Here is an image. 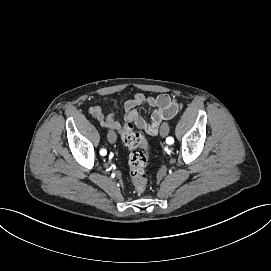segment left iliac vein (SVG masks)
I'll list each match as a JSON object with an SVG mask.
<instances>
[{
  "label": "left iliac vein",
  "mask_w": 271,
  "mask_h": 271,
  "mask_svg": "<svg viewBox=\"0 0 271 271\" xmlns=\"http://www.w3.org/2000/svg\"><path fill=\"white\" fill-rule=\"evenodd\" d=\"M168 131H169L168 125L166 123L162 124V126L160 128V135L165 137V136H167Z\"/></svg>",
  "instance_id": "obj_1"
}]
</instances>
